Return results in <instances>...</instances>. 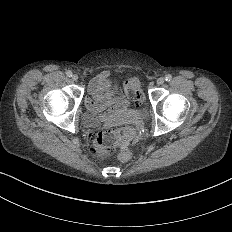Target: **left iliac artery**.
I'll use <instances>...</instances> for the list:
<instances>
[{"label": "left iliac artery", "mask_w": 232, "mask_h": 232, "mask_svg": "<svg viewBox=\"0 0 232 232\" xmlns=\"http://www.w3.org/2000/svg\"><path fill=\"white\" fill-rule=\"evenodd\" d=\"M165 80H166L167 82H170V81L172 80V75H171V74L165 75Z\"/></svg>", "instance_id": "1"}]
</instances>
